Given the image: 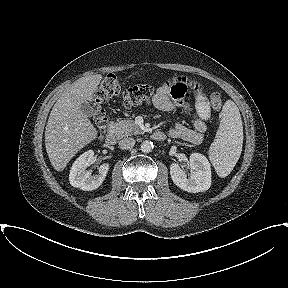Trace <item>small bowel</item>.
Here are the masks:
<instances>
[{"label": "small bowel", "mask_w": 288, "mask_h": 288, "mask_svg": "<svg viewBox=\"0 0 288 288\" xmlns=\"http://www.w3.org/2000/svg\"><path fill=\"white\" fill-rule=\"evenodd\" d=\"M189 88H193L195 91L193 108L185 101V96ZM151 103L154 107L162 111H193V128L176 124L174 128L169 130V135L179 137L194 145L201 143L203 135L207 130V121L211 117V110L208 98L202 92L200 86L186 77L170 79L157 87Z\"/></svg>", "instance_id": "1"}]
</instances>
